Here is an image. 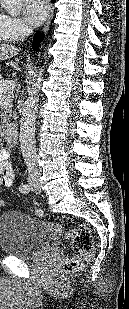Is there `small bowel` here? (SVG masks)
Returning <instances> with one entry per match:
<instances>
[{
  "instance_id": "obj_1",
  "label": "small bowel",
  "mask_w": 129,
  "mask_h": 309,
  "mask_svg": "<svg viewBox=\"0 0 129 309\" xmlns=\"http://www.w3.org/2000/svg\"><path fill=\"white\" fill-rule=\"evenodd\" d=\"M15 173L7 148H0V187H9L13 184Z\"/></svg>"
}]
</instances>
